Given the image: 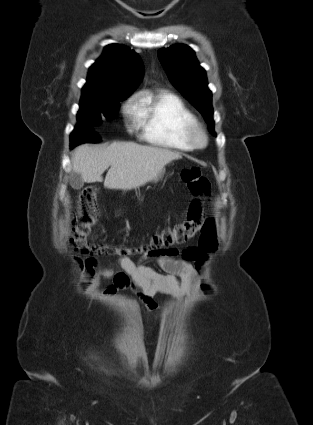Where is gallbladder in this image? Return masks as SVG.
I'll return each mask as SVG.
<instances>
[{"label": "gallbladder", "instance_id": "obj_1", "mask_svg": "<svg viewBox=\"0 0 313 425\" xmlns=\"http://www.w3.org/2000/svg\"><path fill=\"white\" fill-rule=\"evenodd\" d=\"M70 185L73 189H81L84 185V180L82 179L80 174L74 172L70 176Z\"/></svg>", "mask_w": 313, "mask_h": 425}]
</instances>
